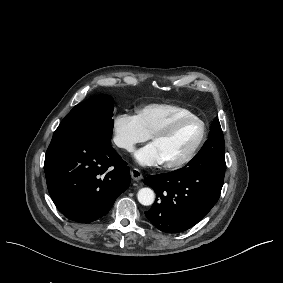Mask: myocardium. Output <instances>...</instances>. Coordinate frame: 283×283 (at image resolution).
<instances>
[{"label": "myocardium", "instance_id": "f54148a6", "mask_svg": "<svg viewBox=\"0 0 283 283\" xmlns=\"http://www.w3.org/2000/svg\"><path fill=\"white\" fill-rule=\"evenodd\" d=\"M187 121H197L201 124L200 136H199L197 142L195 143V145L193 146V148L191 149V151L183 159L176 161V162H165V165L168 168H173V169L182 168V167L186 166L187 164H189L197 156V154L199 153L200 149L202 148V146H203V144L206 140V137H207V125H206L205 121L202 118H200L199 116H196L194 114L183 115V116L176 118L166 128L157 132L152 137L154 140L169 138L175 133L176 129L178 128V126L180 124L187 122Z\"/></svg>", "mask_w": 283, "mask_h": 283}]
</instances>
